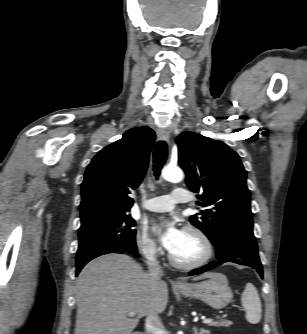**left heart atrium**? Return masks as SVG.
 Wrapping results in <instances>:
<instances>
[{
	"label": "left heart atrium",
	"instance_id": "obj_1",
	"mask_svg": "<svg viewBox=\"0 0 307 334\" xmlns=\"http://www.w3.org/2000/svg\"><path fill=\"white\" fill-rule=\"evenodd\" d=\"M154 230L158 233L161 244L169 251L174 252L182 243L184 231L174 220L166 219L156 223Z\"/></svg>",
	"mask_w": 307,
	"mask_h": 334
}]
</instances>
